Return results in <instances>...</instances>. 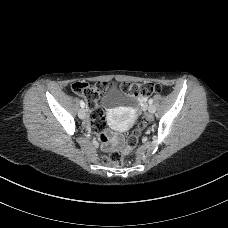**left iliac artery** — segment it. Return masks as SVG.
Segmentation results:
<instances>
[{
	"mask_svg": "<svg viewBox=\"0 0 228 228\" xmlns=\"http://www.w3.org/2000/svg\"><path fill=\"white\" fill-rule=\"evenodd\" d=\"M148 103L151 105L153 103V99H150Z\"/></svg>",
	"mask_w": 228,
	"mask_h": 228,
	"instance_id": "1",
	"label": "left iliac artery"
}]
</instances>
